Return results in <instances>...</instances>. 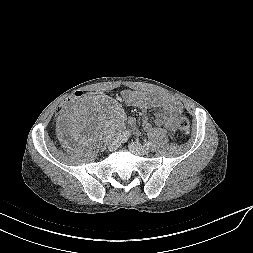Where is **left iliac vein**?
Wrapping results in <instances>:
<instances>
[{
	"mask_svg": "<svg viewBox=\"0 0 253 253\" xmlns=\"http://www.w3.org/2000/svg\"><path fill=\"white\" fill-rule=\"evenodd\" d=\"M129 150L136 155H147L149 153V148L138 142H131L129 144Z\"/></svg>",
	"mask_w": 253,
	"mask_h": 253,
	"instance_id": "obj_1",
	"label": "left iliac vein"
}]
</instances>
